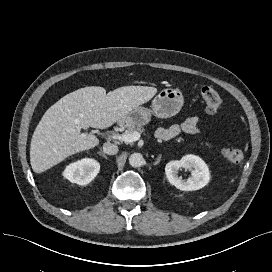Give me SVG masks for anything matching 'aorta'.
<instances>
[{
    "mask_svg": "<svg viewBox=\"0 0 272 272\" xmlns=\"http://www.w3.org/2000/svg\"><path fill=\"white\" fill-rule=\"evenodd\" d=\"M129 164L132 167H141L144 164V158L140 153H133L129 157Z\"/></svg>",
    "mask_w": 272,
    "mask_h": 272,
    "instance_id": "aorta-1",
    "label": "aorta"
}]
</instances>
